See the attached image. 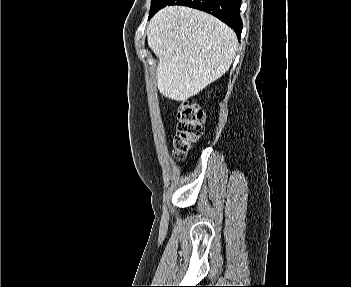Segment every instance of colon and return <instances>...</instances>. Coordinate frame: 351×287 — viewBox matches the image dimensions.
Wrapping results in <instances>:
<instances>
[{"instance_id": "5ec220e1", "label": "colon", "mask_w": 351, "mask_h": 287, "mask_svg": "<svg viewBox=\"0 0 351 287\" xmlns=\"http://www.w3.org/2000/svg\"><path fill=\"white\" fill-rule=\"evenodd\" d=\"M178 132L174 140L175 153L184 157L204 132V113L193 101H184L177 112Z\"/></svg>"}]
</instances>
